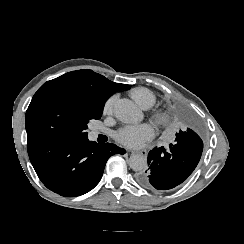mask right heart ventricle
Here are the masks:
<instances>
[{
    "label": "right heart ventricle",
    "mask_w": 244,
    "mask_h": 244,
    "mask_svg": "<svg viewBox=\"0 0 244 244\" xmlns=\"http://www.w3.org/2000/svg\"><path fill=\"white\" fill-rule=\"evenodd\" d=\"M129 96L141 109L144 110L150 109L156 102V98L153 92L144 87L132 89L129 91Z\"/></svg>",
    "instance_id": "1"
}]
</instances>
